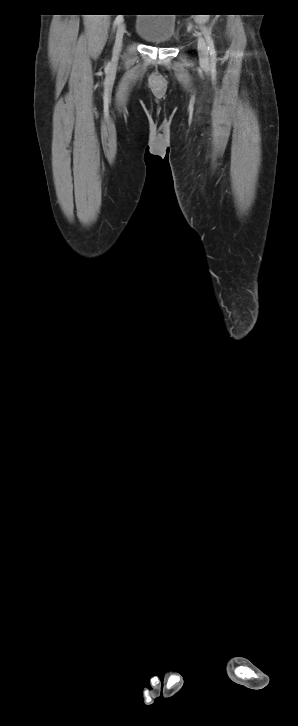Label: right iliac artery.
<instances>
[{"instance_id": "obj_1", "label": "right iliac artery", "mask_w": 298, "mask_h": 726, "mask_svg": "<svg viewBox=\"0 0 298 726\" xmlns=\"http://www.w3.org/2000/svg\"><path fill=\"white\" fill-rule=\"evenodd\" d=\"M122 21H123V17L119 15L116 17L114 24L119 25Z\"/></svg>"}]
</instances>
